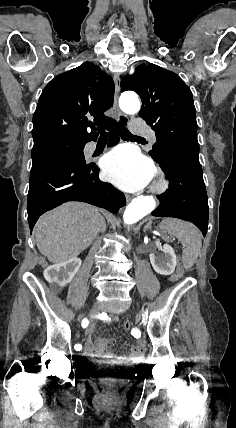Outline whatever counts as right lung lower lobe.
Instances as JSON below:
<instances>
[{
  "label": "right lung lower lobe",
  "instance_id": "right-lung-lower-lobe-1",
  "mask_svg": "<svg viewBox=\"0 0 236 428\" xmlns=\"http://www.w3.org/2000/svg\"><path fill=\"white\" fill-rule=\"evenodd\" d=\"M107 129L111 134L109 146H114L119 142L116 123ZM98 175L99 170L94 164L66 160L32 168L27 196L30 230L44 212L67 201H82L116 213L126 204L124 194L111 184L100 181Z\"/></svg>",
  "mask_w": 236,
  "mask_h": 428
}]
</instances>
